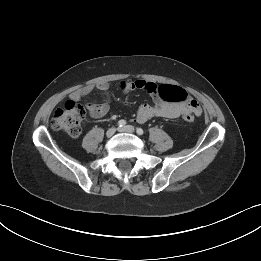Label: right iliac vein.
<instances>
[{"instance_id":"1","label":"right iliac vein","mask_w":261,"mask_h":261,"mask_svg":"<svg viewBox=\"0 0 261 261\" xmlns=\"http://www.w3.org/2000/svg\"><path fill=\"white\" fill-rule=\"evenodd\" d=\"M116 132V128H110V129H108L107 130V132H106V136L107 137H111V136H113L114 135V133Z\"/></svg>"}]
</instances>
